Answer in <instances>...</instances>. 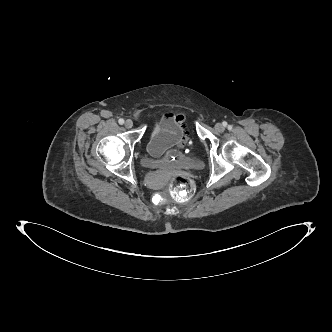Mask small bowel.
Wrapping results in <instances>:
<instances>
[{
	"label": "small bowel",
	"instance_id": "small-bowel-1",
	"mask_svg": "<svg viewBox=\"0 0 332 332\" xmlns=\"http://www.w3.org/2000/svg\"><path fill=\"white\" fill-rule=\"evenodd\" d=\"M184 116L181 114H165L158 121L152 130L151 139L147 145V152L152 157L171 158L176 153V148H186V143L190 140L189 134L181 130Z\"/></svg>",
	"mask_w": 332,
	"mask_h": 332
}]
</instances>
